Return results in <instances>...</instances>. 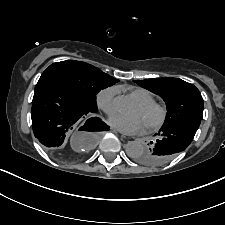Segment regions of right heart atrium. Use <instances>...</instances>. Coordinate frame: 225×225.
<instances>
[{
    "label": "right heart atrium",
    "instance_id": "obj_1",
    "mask_svg": "<svg viewBox=\"0 0 225 225\" xmlns=\"http://www.w3.org/2000/svg\"><path fill=\"white\" fill-rule=\"evenodd\" d=\"M116 95L115 87H107L99 91L96 96V104L105 114L112 115L116 111Z\"/></svg>",
    "mask_w": 225,
    "mask_h": 225
}]
</instances>
